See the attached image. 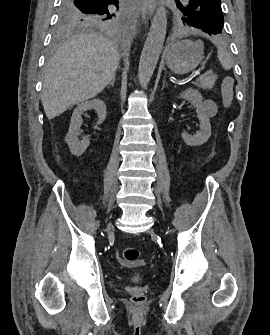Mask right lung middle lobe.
Masks as SVG:
<instances>
[{
	"label": "right lung middle lobe",
	"mask_w": 270,
	"mask_h": 335,
	"mask_svg": "<svg viewBox=\"0 0 270 335\" xmlns=\"http://www.w3.org/2000/svg\"><path fill=\"white\" fill-rule=\"evenodd\" d=\"M55 37L80 29L116 28L124 17L119 0H61Z\"/></svg>",
	"instance_id": "1"
}]
</instances>
